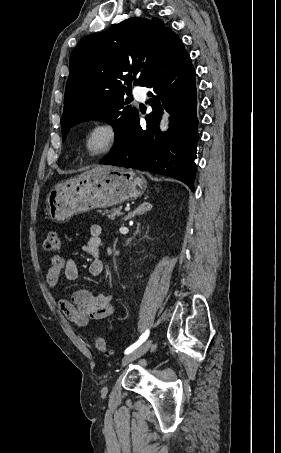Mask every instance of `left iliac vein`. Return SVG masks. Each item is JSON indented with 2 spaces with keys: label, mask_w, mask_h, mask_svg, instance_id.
<instances>
[{
  "label": "left iliac vein",
  "mask_w": 281,
  "mask_h": 453,
  "mask_svg": "<svg viewBox=\"0 0 281 453\" xmlns=\"http://www.w3.org/2000/svg\"><path fill=\"white\" fill-rule=\"evenodd\" d=\"M152 340L153 342L150 343L149 340ZM154 343V340L152 338H149L144 344L138 347L136 351H133L132 354L126 355V357L122 358V363L121 366L125 367L128 365L129 362H134L135 359H138L139 356H144V353H147L148 348Z\"/></svg>",
  "instance_id": "obj_1"
}]
</instances>
